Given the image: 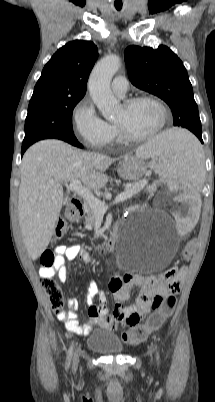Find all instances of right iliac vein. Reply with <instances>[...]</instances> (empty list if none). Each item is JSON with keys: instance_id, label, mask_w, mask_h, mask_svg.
<instances>
[{"instance_id": "63e3f726", "label": "right iliac vein", "mask_w": 215, "mask_h": 402, "mask_svg": "<svg viewBox=\"0 0 215 402\" xmlns=\"http://www.w3.org/2000/svg\"><path fill=\"white\" fill-rule=\"evenodd\" d=\"M78 363H79V356H78V354L76 353L75 356H74V361H73V369H74V370L77 369Z\"/></svg>"}]
</instances>
